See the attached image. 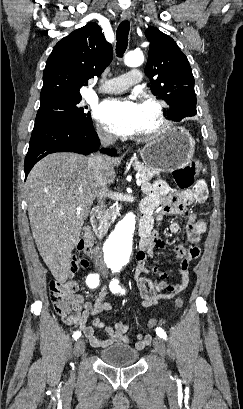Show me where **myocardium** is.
<instances>
[{
	"label": "myocardium",
	"mask_w": 243,
	"mask_h": 409,
	"mask_svg": "<svg viewBox=\"0 0 243 409\" xmlns=\"http://www.w3.org/2000/svg\"><path fill=\"white\" fill-rule=\"evenodd\" d=\"M140 101L153 107L157 118V125L154 128L140 132L137 135L140 138L148 139L156 137L165 132L169 127V120L166 115L165 103L155 95L147 92L141 94Z\"/></svg>",
	"instance_id": "1"
}]
</instances>
